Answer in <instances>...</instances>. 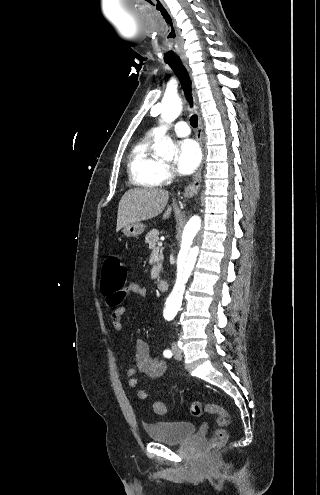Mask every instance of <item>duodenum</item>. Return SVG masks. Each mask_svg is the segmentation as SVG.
<instances>
[{
  "mask_svg": "<svg viewBox=\"0 0 320 495\" xmlns=\"http://www.w3.org/2000/svg\"><path fill=\"white\" fill-rule=\"evenodd\" d=\"M157 287H158V289H159L160 291L165 292V291H167V290H168V288H169V283H168V281H167V280H165V279H161V280H159V281H158V283H157Z\"/></svg>",
  "mask_w": 320,
  "mask_h": 495,
  "instance_id": "1",
  "label": "duodenum"
}]
</instances>
